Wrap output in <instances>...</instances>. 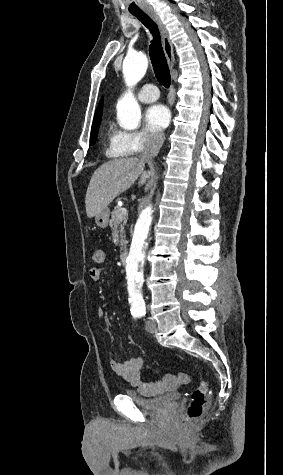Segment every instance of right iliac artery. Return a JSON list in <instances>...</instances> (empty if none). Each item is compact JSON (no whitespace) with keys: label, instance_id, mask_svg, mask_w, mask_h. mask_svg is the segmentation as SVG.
<instances>
[{"label":"right iliac artery","instance_id":"1","mask_svg":"<svg viewBox=\"0 0 283 475\" xmlns=\"http://www.w3.org/2000/svg\"><path fill=\"white\" fill-rule=\"evenodd\" d=\"M131 314L133 315L134 318H137L139 316L137 312H131Z\"/></svg>","mask_w":283,"mask_h":475}]
</instances>
